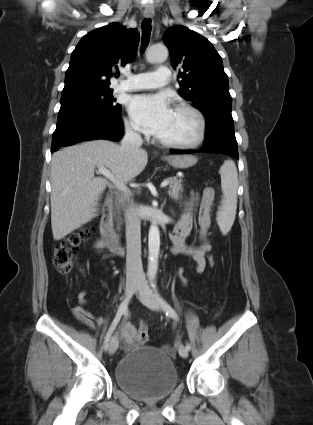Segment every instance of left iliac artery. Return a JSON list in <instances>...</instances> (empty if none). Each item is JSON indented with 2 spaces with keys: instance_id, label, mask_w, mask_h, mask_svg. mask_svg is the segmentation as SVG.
Masks as SVG:
<instances>
[{
  "instance_id": "44dca946",
  "label": "left iliac artery",
  "mask_w": 313,
  "mask_h": 425,
  "mask_svg": "<svg viewBox=\"0 0 313 425\" xmlns=\"http://www.w3.org/2000/svg\"><path fill=\"white\" fill-rule=\"evenodd\" d=\"M151 286H152V288L154 290L155 296L161 302V304H162V306H163V308H164V310L166 312V315L172 317L175 320H178V315L175 312V310L159 295V293L157 291V285H156V281L155 280H152L151 281ZM186 348H187V350H190L191 349V345L189 343H186Z\"/></svg>"
}]
</instances>
